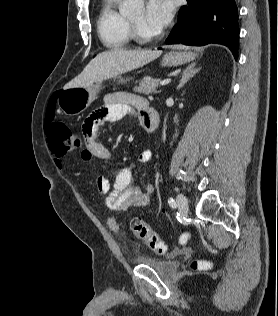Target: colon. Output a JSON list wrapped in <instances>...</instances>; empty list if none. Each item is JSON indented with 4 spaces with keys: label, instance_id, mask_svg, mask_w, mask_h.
I'll list each match as a JSON object with an SVG mask.
<instances>
[{
    "label": "colon",
    "instance_id": "5ec220e1",
    "mask_svg": "<svg viewBox=\"0 0 278 316\" xmlns=\"http://www.w3.org/2000/svg\"><path fill=\"white\" fill-rule=\"evenodd\" d=\"M47 137L50 149L58 157L69 155L81 145L80 135L62 122H53L47 128ZM130 228L133 233L144 241L151 249L159 255L167 251L166 244L140 217H133L130 220ZM188 233H183L180 241L184 243L188 239ZM208 264L202 261H194L193 268H205Z\"/></svg>",
    "mask_w": 278,
    "mask_h": 316
}]
</instances>
